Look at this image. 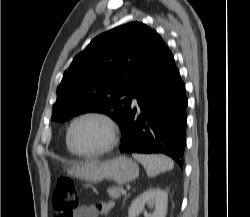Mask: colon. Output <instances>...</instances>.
<instances>
[{"instance_id":"5ec220e1","label":"colon","mask_w":250,"mask_h":217,"mask_svg":"<svg viewBox=\"0 0 250 217\" xmlns=\"http://www.w3.org/2000/svg\"><path fill=\"white\" fill-rule=\"evenodd\" d=\"M78 203L79 195L74 181L66 176L58 178L52 196L54 217H72Z\"/></svg>"}]
</instances>
